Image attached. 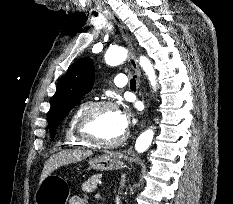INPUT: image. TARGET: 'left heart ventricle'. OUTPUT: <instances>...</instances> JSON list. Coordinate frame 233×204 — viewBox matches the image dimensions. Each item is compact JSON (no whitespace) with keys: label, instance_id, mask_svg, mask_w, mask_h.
Listing matches in <instances>:
<instances>
[{"label":"left heart ventricle","instance_id":"obj_1","mask_svg":"<svg viewBox=\"0 0 233 204\" xmlns=\"http://www.w3.org/2000/svg\"><path fill=\"white\" fill-rule=\"evenodd\" d=\"M88 130L93 137L104 141L117 139L124 133L118 123L115 109H103L97 112L92 117Z\"/></svg>","mask_w":233,"mask_h":204}]
</instances>
